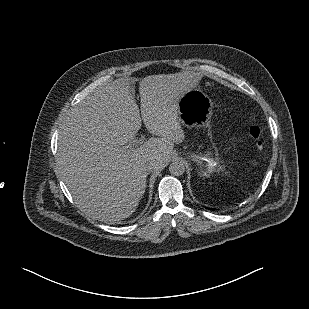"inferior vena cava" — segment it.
Returning a JSON list of instances; mask_svg holds the SVG:
<instances>
[{"label":"inferior vena cava","instance_id":"obj_1","mask_svg":"<svg viewBox=\"0 0 309 309\" xmlns=\"http://www.w3.org/2000/svg\"><path fill=\"white\" fill-rule=\"evenodd\" d=\"M162 167V165H159L157 166L155 163H152L150 166H149V170L150 171H153L155 169H160Z\"/></svg>","mask_w":309,"mask_h":309}]
</instances>
